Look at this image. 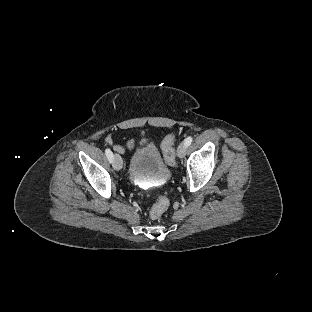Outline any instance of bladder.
Instances as JSON below:
<instances>
[{
    "label": "bladder",
    "instance_id": "bladder-1",
    "mask_svg": "<svg viewBox=\"0 0 312 312\" xmlns=\"http://www.w3.org/2000/svg\"><path fill=\"white\" fill-rule=\"evenodd\" d=\"M129 171L133 177L150 176L166 178L169 170L161 161L157 146H146L129 160Z\"/></svg>",
    "mask_w": 312,
    "mask_h": 312
}]
</instances>
